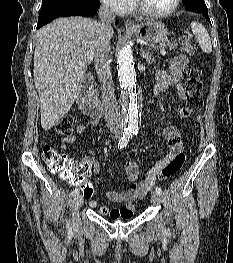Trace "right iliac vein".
<instances>
[{"label":"right iliac vein","mask_w":233,"mask_h":263,"mask_svg":"<svg viewBox=\"0 0 233 263\" xmlns=\"http://www.w3.org/2000/svg\"><path fill=\"white\" fill-rule=\"evenodd\" d=\"M83 197L81 194H77L72 202V219L75 224L79 222V208L82 205Z\"/></svg>","instance_id":"1"}]
</instances>
